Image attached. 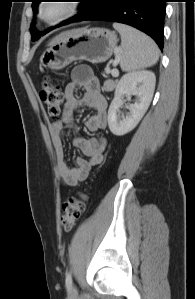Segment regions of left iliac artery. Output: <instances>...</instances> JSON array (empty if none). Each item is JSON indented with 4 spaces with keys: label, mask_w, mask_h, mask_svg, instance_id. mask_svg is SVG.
Here are the masks:
<instances>
[{
    "label": "left iliac artery",
    "mask_w": 195,
    "mask_h": 299,
    "mask_svg": "<svg viewBox=\"0 0 195 299\" xmlns=\"http://www.w3.org/2000/svg\"><path fill=\"white\" fill-rule=\"evenodd\" d=\"M65 283H66L67 289L69 290L71 288V285H72V277H71V273L70 272L67 273V275H66Z\"/></svg>",
    "instance_id": "left-iliac-artery-1"
}]
</instances>
